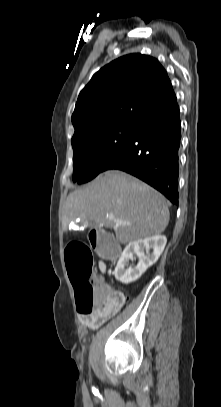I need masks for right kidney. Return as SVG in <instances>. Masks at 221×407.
I'll return each instance as SVG.
<instances>
[{
    "mask_svg": "<svg viewBox=\"0 0 221 407\" xmlns=\"http://www.w3.org/2000/svg\"><path fill=\"white\" fill-rule=\"evenodd\" d=\"M166 242L167 238L164 235H154L130 242L118 260L114 270L115 278L124 284L138 280L149 267L156 263L165 248ZM150 249H152L151 252ZM144 251H146V255ZM134 255L139 258L137 266L125 268L129 260L134 259Z\"/></svg>",
    "mask_w": 221,
    "mask_h": 407,
    "instance_id": "1",
    "label": "right kidney"
}]
</instances>
